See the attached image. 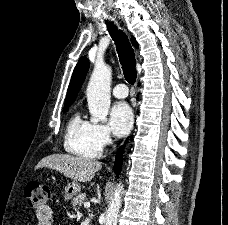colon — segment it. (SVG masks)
Returning <instances> with one entry per match:
<instances>
[{"mask_svg":"<svg viewBox=\"0 0 228 225\" xmlns=\"http://www.w3.org/2000/svg\"><path fill=\"white\" fill-rule=\"evenodd\" d=\"M25 195L29 200L30 206L37 212L46 211L49 207L46 203L49 199V190L46 185L39 182H30L25 190Z\"/></svg>","mask_w":228,"mask_h":225,"instance_id":"obj_1","label":"colon"}]
</instances>
